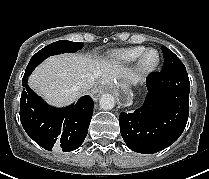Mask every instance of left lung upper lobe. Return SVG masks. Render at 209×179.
<instances>
[{
    "label": "left lung upper lobe",
    "mask_w": 209,
    "mask_h": 179,
    "mask_svg": "<svg viewBox=\"0 0 209 179\" xmlns=\"http://www.w3.org/2000/svg\"><path fill=\"white\" fill-rule=\"evenodd\" d=\"M162 51L164 54V65L162 67V71L164 73L176 71L180 69H185V66L180 61V59L167 47L162 46Z\"/></svg>",
    "instance_id": "1"
}]
</instances>
